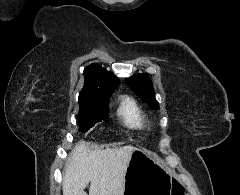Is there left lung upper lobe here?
Instances as JSON below:
<instances>
[{
  "mask_svg": "<svg viewBox=\"0 0 240 195\" xmlns=\"http://www.w3.org/2000/svg\"><path fill=\"white\" fill-rule=\"evenodd\" d=\"M126 84L152 109H159V103L155 99L152 83L146 74H137L125 79Z\"/></svg>",
  "mask_w": 240,
  "mask_h": 195,
  "instance_id": "left-lung-upper-lobe-1",
  "label": "left lung upper lobe"
}]
</instances>
